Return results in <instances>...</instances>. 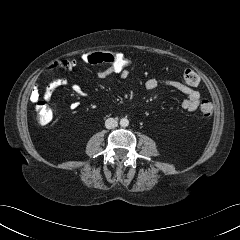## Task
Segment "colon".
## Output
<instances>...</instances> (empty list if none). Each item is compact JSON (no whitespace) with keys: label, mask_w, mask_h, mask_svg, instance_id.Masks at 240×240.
<instances>
[{"label":"colon","mask_w":240,"mask_h":240,"mask_svg":"<svg viewBox=\"0 0 240 240\" xmlns=\"http://www.w3.org/2000/svg\"><path fill=\"white\" fill-rule=\"evenodd\" d=\"M82 60L90 65L108 66L115 72L127 71L136 66V61L122 53L111 51L88 52L82 55ZM181 82L189 87H195L199 83L198 74L192 69H186L181 76ZM36 118L41 125L48 124L53 118L52 110L42 101L34 104ZM200 112L204 117L212 114V104L203 100L200 105Z\"/></svg>","instance_id":"obj_1"}]
</instances>
